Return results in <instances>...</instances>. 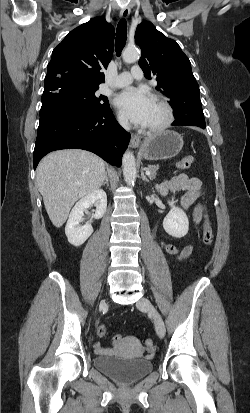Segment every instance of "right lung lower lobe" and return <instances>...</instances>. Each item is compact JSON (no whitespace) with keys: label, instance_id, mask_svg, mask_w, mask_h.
I'll use <instances>...</instances> for the list:
<instances>
[{"label":"right lung lower lobe","instance_id":"1","mask_svg":"<svg viewBox=\"0 0 250 413\" xmlns=\"http://www.w3.org/2000/svg\"><path fill=\"white\" fill-rule=\"evenodd\" d=\"M130 134L116 121L110 108L88 110L56 106L40 115L33 166L47 153L78 148L91 151L120 166Z\"/></svg>","mask_w":250,"mask_h":413}]
</instances>
